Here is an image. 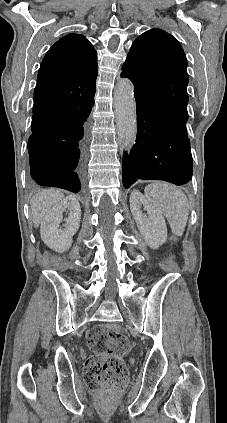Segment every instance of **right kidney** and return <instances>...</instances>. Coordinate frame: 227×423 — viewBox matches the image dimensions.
Segmentation results:
<instances>
[{
	"instance_id": "1",
	"label": "right kidney",
	"mask_w": 227,
	"mask_h": 423,
	"mask_svg": "<svg viewBox=\"0 0 227 423\" xmlns=\"http://www.w3.org/2000/svg\"><path fill=\"white\" fill-rule=\"evenodd\" d=\"M63 211H69L63 229H59V223L63 219ZM81 219V208L78 200L73 196H67L59 204H55L51 210L46 211L40 225V235L44 243L63 253L71 247L73 235L78 231Z\"/></svg>"
}]
</instances>
